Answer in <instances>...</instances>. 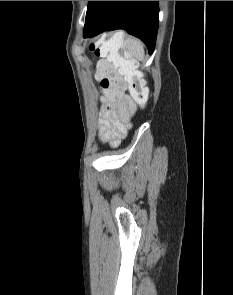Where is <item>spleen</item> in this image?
<instances>
[{
	"mask_svg": "<svg viewBox=\"0 0 233 295\" xmlns=\"http://www.w3.org/2000/svg\"><path fill=\"white\" fill-rule=\"evenodd\" d=\"M124 49L125 54L135 57L137 60L142 61L145 53L143 44L136 38H128L124 40V34L118 32L114 34L107 42L101 45V55L107 57V60L113 62L116 67H123L125 60L119 54V50Z\"/></svg>",
	"mask_w": 233,
	"mask_h": 295,
	"instance_id": "3e777b00",
	"label": "spleen"
}]
</instances>
